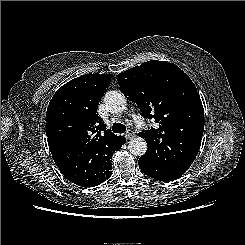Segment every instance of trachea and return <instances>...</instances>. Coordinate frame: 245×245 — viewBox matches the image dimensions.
Masks as SVG:
<instances>
[{"label": "trachea", "instance_id": "3493384b", "mask_svg": "<svg viewBox=\"0 0 245 245\" xmlns=\"http://www.w3.org/2000/svg\"><path fill=\"white\" fill-rule=\"evenodd\" d=\"M112 129L114 133H125L126 132L125 125L121 123H114L112 126Z\"/></svg>", "mask_w": 245, "mask_h": 245}]
</instances>
